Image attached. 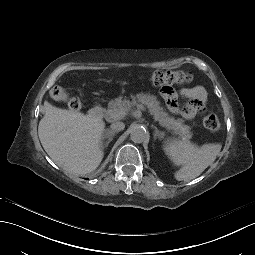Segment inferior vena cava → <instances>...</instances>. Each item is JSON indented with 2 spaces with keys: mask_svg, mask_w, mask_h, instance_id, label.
I'll list each match as a JSON object with an SVG mask.
<instances>
[{
  "mask_svg": "<svg viewBox=\"0 0 255 255\" xmlns=\"http://www.w3.org/2000/svg\"><path fill=\"white\" fill-rule=\"evenodd\" d=\"M110 127H111L112 131L119 132V131L124 130L125 124L123 122L116 121V122L112 123Z\"/></svg>",
  "mask_w": 255,
  "mask_h": 255,
  "instance_id": "inferior-vena-cava-1",
  "label": "inferior vena cava"
}]
</instances>
